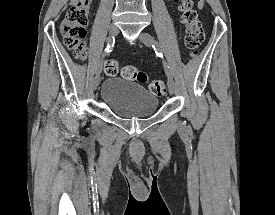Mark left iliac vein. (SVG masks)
<instances>
[{
    "label": "left iliac vein",
    "mask_w": 275,
    "mask_h": 215,
    "mask_svg": "<svg viewBox=\"0 0 275 215\" xmlns=\"http://www.w3.org/2000/svg\"><path fill=\"white\" fill-rule=\"evenodd\" d=\"M139 39L146 46H151L152 43H153L152 36L149 33L144 32V31L141 32V34L139 35ZM168 89H169L170 94H174V92H175V83L171 78L168 79Z\"/></svg>",
    "instance_id": "4c4485c4"
}]
</instances>
